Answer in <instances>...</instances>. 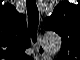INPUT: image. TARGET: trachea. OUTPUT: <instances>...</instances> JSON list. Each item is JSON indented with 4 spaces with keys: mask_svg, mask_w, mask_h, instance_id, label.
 I'll use <instances>...</instances> for the list:
<instances>
[{
    "mask_svg": "<svg viewBox=\"0 0 80 60\" xmlns=\"http://www.w3.org/2000/svg\"><path fill=\"white\" fill-rule=\"evenodd\" d=\"M27 15H28V29L32 37L33 43L37 41V28L39 23V11L36 5V0H27Z\"/></svg>",
    "mask_w": 80,
    "mask_h": 60,
    "instance_id": "1",
    "label": "trachea"
}]
</instances>
